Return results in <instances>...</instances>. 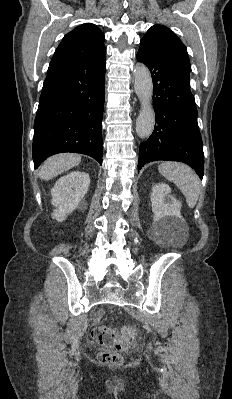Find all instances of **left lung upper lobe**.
Wrapping results in <instances>:
<instances>
[{
    "instance_id": "5c2ea615",
    "label": "left lung upper lobe",
    "mask_w": 232,
    "mask_h": 399,
    "mask_svg": "<svg viewBox=\"0 0 232 399\" xmlns=\"http://www.w3.org/2000/svg\"><path fill=\"white\" fill-rule=\"evenodd\" d=\"M141 46L156 48L168 55L189 78L191 72L187 49L181 40L167 27L152 26L140 42Z\"/></svg>"
}]
</instances>
